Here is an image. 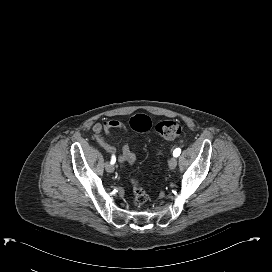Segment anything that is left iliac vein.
I'll list each match as a JSON object with an SVG mask.
<instances>
[{"label":"left iliac vein","mask_w":272,"mask_h":272,"mask_svg":"<svg viewBox=\"0 0 272 272\" xmlns=\"http://www.w3.org/2000/svg\"><path fill=\"white\" fill-rule=\"evenodd\" d=\"M168 166L170 169H174L177 166V158L176 157H172L169 162H168Z\"/></svg>","instance_id":"obj_1"}]
</instances>
